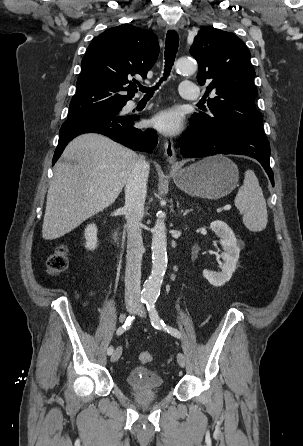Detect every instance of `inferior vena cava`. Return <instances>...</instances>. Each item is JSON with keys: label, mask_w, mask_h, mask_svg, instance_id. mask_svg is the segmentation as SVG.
Returning <instances> with one entry per match:
<instances>
[{"label": "inferior vena cava", "mask_w": 303, "mask_h": 446, "mask_svg": "<svg viewBox=\"0 0 303 446\" xmlns=\"http://www.w3.org/2000/svg\"><path fill=\"white\" fill-rule=\"evenodd\" d=\"M149 164L138 158L125 187V211L127 229V260L125 271L126 302L140 301L141 261L144 251L141 235V220L147 191Z\"/></svg>", "instance_id": "inferior-vena-cava-1"}]
</instances>
